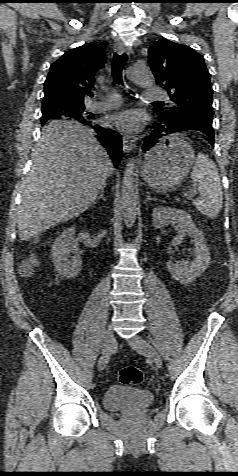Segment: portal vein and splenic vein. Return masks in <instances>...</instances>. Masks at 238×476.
<instances>
[{
    "label": "portal vein and splenic vein",
    "instance_id": "obj_1",
    "mask_svg": "<svg viewBox=\"0 0 238 476\" xmlns=\"http://www.w3.org/2000/svg\"><path fill=\"white\" fill-rule=\"evenodd\" d=\"M195 194H196V191H193V192H191V193H189V194H188V193H185L184 196L192 197V196H194Z\"/></svg>",
    "mask_w": 238,
    "mask_h": 476
}]
</instances>
